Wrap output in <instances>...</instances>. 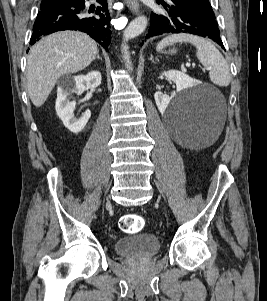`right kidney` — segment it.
I'll use <instances>...</instances> for the list:
<instances>
[{
  "instance_id": "right-kidney-1",
  "label": "right kidney",
  "mask_w": 267,
  "mask_h": 301,
  "mask_svg": "<svg viewBox=\"0 0 267 301\" xmlns=\"http://www.w3.org/2000/svg\"><path fill=\"white\" fill-rule=\"evenodd\" d=\"M101 79L99 71H91L87 75L75 76L71 82L58 88L55 105L56 113L69 131L76 134L81 132L91 117L90 110H86L80 118L74 117L76 102L70 101L71 94L80 95L85 90L96 88L101 84Z\"/></svg>"
}]
</instances>
